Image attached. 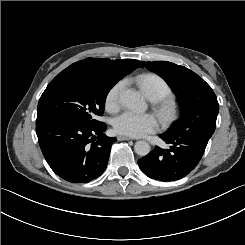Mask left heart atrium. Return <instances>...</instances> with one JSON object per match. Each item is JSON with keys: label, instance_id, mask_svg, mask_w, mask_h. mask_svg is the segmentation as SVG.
<instances>
[{"label": "left heart atrium", "instance_id": "obj_1", "mask_svg": "<svg viewBox=\"0 0 245 245\" xmlns=\"http://www.w3.org/2000/svg\"><path fill=\"white\" fill-rule=\"evenodd\" d=\"M115 130L130 137H141L159 129L157 118L148 113L125 111L114 120Z\"/></svg>", "mask_w": 245, "mask_h": 245}]
</instances>
